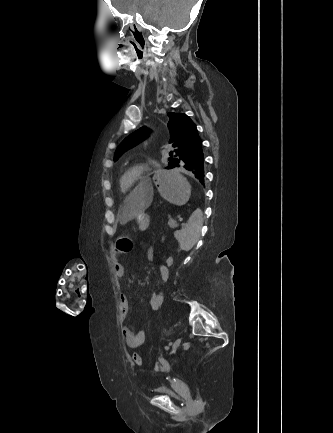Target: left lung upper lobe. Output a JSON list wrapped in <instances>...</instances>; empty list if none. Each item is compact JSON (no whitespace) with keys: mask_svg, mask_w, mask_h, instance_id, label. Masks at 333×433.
Returning <instances> with one entry per match:
<instances>
[{"mask_svg":"<svg viewBox=\"0 0 333 433\" xmlns=\"http://www.w3.org/2000/svg\"><path fill=\"white\" fill-rule=\"evenodd\" d=\"M169 123L168 128L170 130V141L171 145L175 148V156L169 158L170 162L166 169H172L174 162L194 143H196L200 137L198 135L197 128L193 121L183 113H168ZM149 134V129L142 127L129 135L122 143L118 146L115 151L114 160L116 161L124 152L134 147L142 140H144ZM172 156V152H171Z\"/></svg>","mask_w":333,"mask_h":433,"instance_id":"obj_1","label":"left lung upper lobe"}]
</instances>
